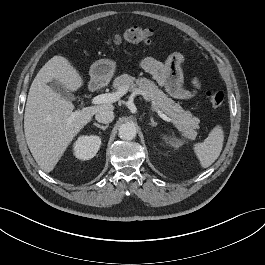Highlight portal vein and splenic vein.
<instances>
[{
	"instance_id": "portal-vein-and-splenic-vein-1",
	"label": "portal vein and splenic vein",
	"mask_w": 265,
	"mask_h": 265,
	"mask_svg": "<svg viewBox=\"0 0 265 265\" xmlns=\"http://www.w3.org/2000/svg\"><path fill=\"white\" fill-rule=\"evenodd\" d=\"M126 93L125 90H119L118 92L114 93H105L95 96L92 99V104H105V103H114L116 102L122 95ZM157 114L165 121L171 122L172 120L167 117L162 111H160L158 108L154 107Z\"/></svg>"
}]
</instances>
